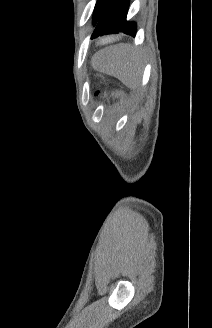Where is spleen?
I'll return each instance as SVG.
<instances>
[{
  "label": "spleen",
  "mask_w": 212,
  "mask_h": 328,
  "mask_svg": "<svg viewBox=\"0 0 212 328\" xmlns=\"http://www.w3.org/2000/svg\"><path fill=\"white\" fill-rule=\"evenodd\" d=\"M108 39H104L100 41L101 44L107 43ZM124 67L119 73H117L118 78L129 88L134 89L138 86L140 80V72L138 71V65L135 63L134 60V53L129 52V46L124 45Z\"/></svg>",
  "instance_id": "1"
}]
</instances>
